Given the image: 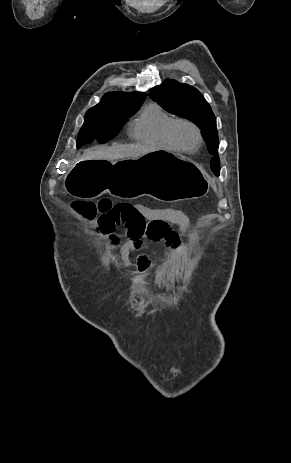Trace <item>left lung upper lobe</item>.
I'll use <instances>...</instances> for the list:
<instances>
[{
    "instance_id": "1",
    "label": "left lung upper lobe",
    "mask_w": 291,
    "mask_h": 463,
    "mask_svg": "<svg viewBox=\"0 0 291 463\" xmlns=\"http://www.w3.org/2000/svg\"><path fill=\"white\" fill-rule=\"evenodd\" d=\"M149 96L168 112L184 117L201 128L209 151L215 155L211 161V169L219 175L216 118L202 94L192 86L167 79L161 85L153 87Z\"/></svg>"
}]
</instances>
